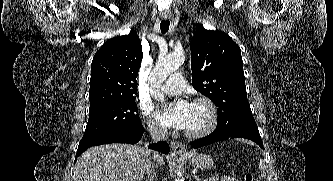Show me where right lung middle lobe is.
<instances>
[{"mask_svg": "<svg viewBox=\"0 0 333 181\" xmlns=\"http://www.w3.org/2000/svg\"><path fill=\"white\" fill-rule=\"evenodd\" d=\"M137 112L135 98L91 107L89 120L81 141L128 134L142 129L143 126Z\"/></svg>", "mask_w": 333, "mask_h": 181, "instance_id": "obj_1", "label": "right lung middle lobe"}]
</instances>
